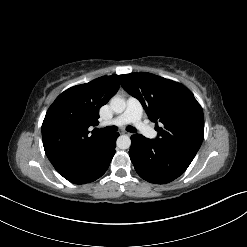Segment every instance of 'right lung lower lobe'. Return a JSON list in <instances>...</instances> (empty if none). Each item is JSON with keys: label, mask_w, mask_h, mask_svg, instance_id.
<instances>
[{"label": "right lung lower lobe", "mask_w": 247, "mask_h": 247, "mask_svg": "<svg viewBox=\"0 0 247 247\" xmlns=\"http://www.w3.org/2000/svg\"><path fill=\"white\" fill-rule=\"evenodd\" d=\"M118 136L119 133L107 134L86 155L70 163L56 166L55 169L74 184L97 180L108 169L115 154Z\"/></svg>", "instance_id": "1"}]
</instances>
